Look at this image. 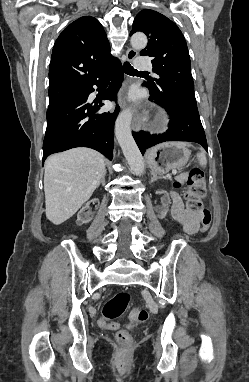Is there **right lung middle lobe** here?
<instances>
[{
    "mask_svg": "<svg viewBox=\"0 0 249 382\" xmlns=\"http://www.w3.org/2000/svg\"><path fill=\"white\" fill-rule=\"evenodd\" d=\"M73 96H74V95H73ZM73 96H71V97H69V98H67V99H65V100L59 101V102L50 103L47 111L52 110V109L58 107V106L61 105L62 103H64V102H66L67 100L71 99Z\"/></svg>",
    "mask_w": 249,
    "mask_h": 382,
    "instance_id": "dd1d6c3e",
    "label": "right lung middle lobe"
}]
</instances>
